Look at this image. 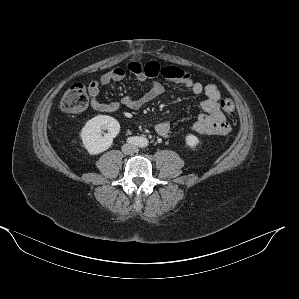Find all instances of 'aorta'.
<instances>
[{"instance_id":"1","label":"aorta","mask_w":299,"mask_h":299,"mask_svg":"<svg viewBox=\"0 0 299 299\" xmlns=\"http://www.w3.org/2000/svg\"><path fill=\"white\" fill-rule=\"evenodd\" d=\"M141 146H147L148 145V140L146 138L141 139Z\"/></svg>"}]
</instances>
